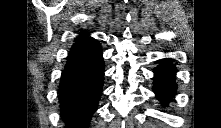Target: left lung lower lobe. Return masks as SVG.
<instances>
[{"instance_id":"0a47b994","label":"left lung lower lobe","mask_w":221,"mask_h":128,"mask_svg":"<svg viewBox=\"0 0 221 128\" xmlns=\"http://www.w3.org/2000/svg\"><path fill=\"white\" fill-rule=\"evenodd\" d=\"M154 91L156 97L164 105L168 104L174 97L177 85L175 83V68L170 59L160 60V65L154 70Z\"/></svg>"}]
</instances>
